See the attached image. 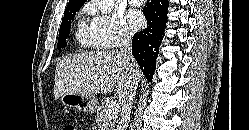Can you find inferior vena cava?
Instances as JSON below:
<instances>
[{
    "instance_id": "obj_1",
    "label": "inferior vena cava",
    "mask_w": 249,
    "mask_h": 130,
    "mask_svg": "<svg viewBox=\"0 0 249 130\" xmlns=\"http://www.w3.org/2000/svg\"><path fill=\"white\" fill-rule=\"evenodd\" d=\"M131 40H132L131 34L126 32L123 34L120 44V56L122 57L124 65L129 70L130 76H129V88L128 91L126 92L124 100L121 103L122 110L117 130L127 129L130 120L131 108L135 97V92L139 83L136 71V63L132 56Z\"/></svg>"
}]
</instances>
